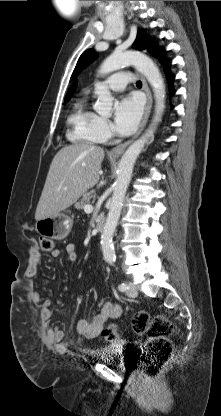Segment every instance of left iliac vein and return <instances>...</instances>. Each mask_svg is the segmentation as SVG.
<instances>
[{"mask_svg": "<svg viewBox=\"0 0 221 416\" xmlns=\"http://www.w3.org/2000/svg\"><path fill=\"white\" fill-rule=\"evenodd\" d=\"M126 294L128 297H136L138 295V291L132 282L128 283V289L126 291Z\"/></svg>", "mask_w": 221, "mask_h": 416, "instance_id": "obj_1", "label": "left iliac vein"}]
</instances>
